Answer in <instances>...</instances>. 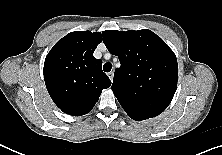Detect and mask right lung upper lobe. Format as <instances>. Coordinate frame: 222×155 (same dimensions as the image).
Listing matches in <instances>:
<instances>
[{"label":"right lung upper lobe","instance_id":"cb5924a9","mask_svg":"<svg viewBox=\"0 0 222 155\" xmlns=\"http://www.w3.org/2000/svg\"><path fill=\"white\" fill-rule=\"evenodd\" d=\"M102 42L100 32L75 31L60 39L44 63V80L54 103L66 114L89 113L111 81L102 60L93 57Z\"/></svg>","mask_w":222,"mask_h":155}]
</instances>
